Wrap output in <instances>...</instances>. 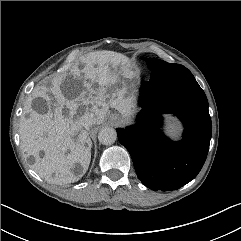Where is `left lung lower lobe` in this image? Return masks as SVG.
I'll return each instance as SVG.
<instances>
[{
  "label": "left lung lower lobe",
  "instance_id": "1",
  "mask_svg": "<svg viewBox=\"0 0 241 241\" xmlns=\"http://www.w3.org/2000/svg\"><path fill=\"white\" fill-rule=\"evenodd\" d=\"M137 123L118 128L120 143L133 160L141 182L152 190L171 191L193 180L209 150L212 124L208 101L198 84L171 93L165 76L152 71L140 89ZM174 114L184 125L183 139L169 140L161 131L162 115Z\"/></svg>",
  "mask_w": 241,
  "mask_h": 241
}]
</instances>
